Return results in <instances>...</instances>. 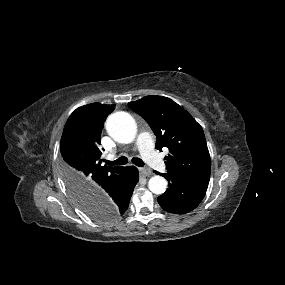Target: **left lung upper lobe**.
I'll use <instances>...</instances> for the list:
<instances>
[{"mask_svg": "<svg viewBox=\"0 0 285 285\" xmlns=\"http://www.w3.org/2000/svg\"><path fill=\"white\" fill-rule=\"evenodd\" d=\"M157 137L156 148L169 149L168 173L191 182L209 184L211 161L203 129L192 116L163 96H146L129 103Z\"/></svg>", "mask_w": 285, "mask_h": 285, "instance_id": "obj_1", "label": "left lung upper lobe"}]
</instances>
